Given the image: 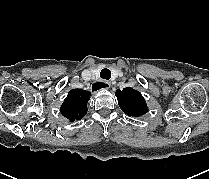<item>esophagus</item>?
<instances>
[{"label":"esophagus","instance_id":"1","mask_svg":"<svg viewBox=\"0 0 209 179\" xmlns=\"http://www.w3.org/2000/svg\"><path fill=\"white\" fill-rule=\"evenodd\" d=\"M111 86L110 82L107 80H103L101 82H97L92 85V91H97L100 88L109 89Z\"/></svg>","mask_w":209,"mask_h":179}]
</instances>
